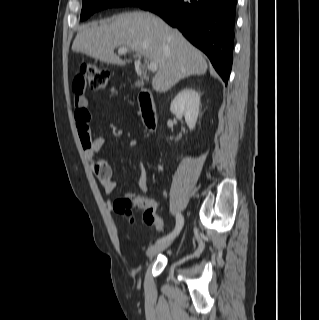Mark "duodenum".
<instances>
[{
  "instance_id": "1",
  "label": "duodenum",
  "mask_w": 319,
  "mask_h": 320,
  "mask_svg": "<svg viewBox=\"0 0 319 320\" xmlns=\"http://www.w3.org/2000/svg\"><path fill=\"white\" fill-rule=\"evenodd\" d=\"M139 105L144 124L150 131H155L157 118L151 92L144 88L139 93Z\"/></svg>"
}]
</instances>
